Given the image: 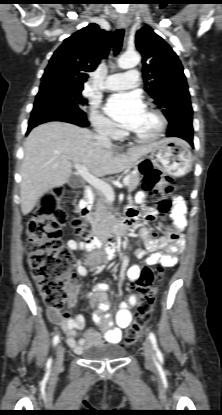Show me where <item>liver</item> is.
I'll return each instance as SVG.
<instances>
[{
  "label": "liver",
  "mask_w": 222,
  "mask_h": 415,
  "mask_svg": "<svg viewBox=\"0 0 222 415\" xmlns=\"http://www.w3.org/2000/svg\"><path fill=\"white\" fill-rule=\"evenodd\" d=\"M85 128L49 122L34 128L24 145L21 166V211L29 214L47 191L68 182L71 162L85 165L97 177L119 173L151 152L155 143L119 154L112 145L99 143Z\"/></svg>",
  "instance_id": "liver-1"
}]
</instances>
